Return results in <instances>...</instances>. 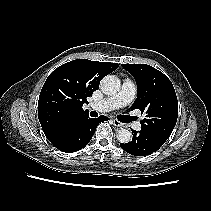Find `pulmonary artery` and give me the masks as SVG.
I'll return each instance as SVG.
<instances>
[{
  "instance_id": "e3ab8cb5",
  "label": "pulmonary artery",
  "mask_w": 211,
  "mask_h": 211,
  "mask_svg": "<svg viewBox=\"0 0 211 211\" xmlns=\"http://www.w3.org/2000/svg\"><path fill=\"white\" fill-rule=\"evenodd\" d=\"M137 93L136 85L130 79H124L118 93L100 101L90 104V108L98 112H107L128 105ZM136 130L141 129V124H133Z\"/></svg>"
}]
</instances>
